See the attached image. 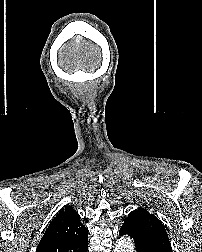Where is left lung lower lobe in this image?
Wrapping results in <instances>:
<instances>
[{
  "label": "left lung lower lobe",
  "instance_id": "1",
  "mask_svg": "<svg viewBox=\"0 0 202 252\" xmlns=\"http://www.w3.org/2000/svg\"><path fill=\"white\" fill-rule=\"evenodd\" d=\"M119 235L120 236L129 235L130 237H133V231L128 225L123 224L120 231H119ZM136 252H153V251H148V250L142 248L141 246H137Z\"/></svg>",
  "mask_w": 202,
  "mask_h": 252
}]
</instances>
